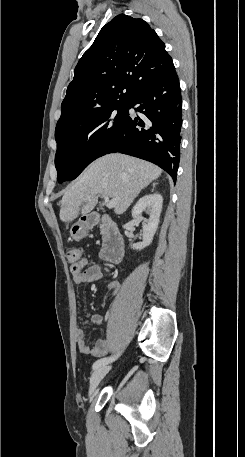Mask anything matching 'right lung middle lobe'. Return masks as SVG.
<instances>
[{"label": "right lung middle lobe", "instance_id": "obj_1", "mask_svg": "<svg viewBox=\"0 0 245 457\" xmlns=\"http://www.w3.org/2000/svg\"><path fill=\"white\" fill-rule=\"evenodd\" d=\"M128 109L129 100L116 101L56 127L59 183L75 179L89 163L109 152Z\"/></svg>", "mask_w": 245, "mask_h": 457}]
</instances>
